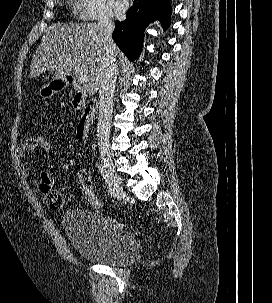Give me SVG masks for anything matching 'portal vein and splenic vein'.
I'll return each instance as SVG.
<instances>
[{
	"label": "portal vein and splenic vein",
	"instance_id": "1",
	"mask_svg": "<svg viewBox=\"0 0 272 303\" xmlns=\"http://www.w3.org/2000/svg\"><path fill=\"white\" fill-rule=\"evenodd\" d=\"M79 82L81 84H85L88 82V77L87 75H84V74H79Z\"/></svg>",
	"mask_w": 272,
	"mask_h": 303
}]
</instances>
